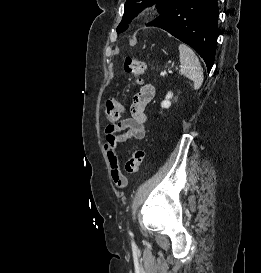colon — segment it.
Here are the masks:
<instances>
[{
    "mask_svg": "<svg viewBox=\"0 0 261 273\" xmlns=\"http://www.w3.org/2000/svg\"><path fill=\"white\" fill-rule=\"evenodd\" d=\"M124 71L130 74L133 77V82L139 83L141 80V76L145 71L144 63L134 57H127L124 60ZM104 112L106 119L110 122H117L123 112L124 109L122 105L114 98H109L106 100L104 105ZM144 159V151L141 149H137L133 152L132 156L128 159L125 165V171L128 174H136L139 172L141 164ZM125 183L123 179L118 180V187L123 188Z\"/></svg>",
    "mask_w": 261,
    "mask_h": 273,
    "instance_id": "obj_1",
    "label": "colon"
}]
</instances>
